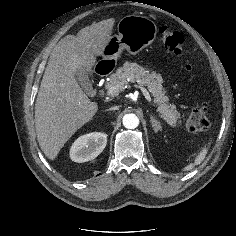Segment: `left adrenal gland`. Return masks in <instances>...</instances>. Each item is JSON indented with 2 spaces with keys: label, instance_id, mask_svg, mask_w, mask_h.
Wrapping results in <instances>:
<instances>
[{
  "label": "left adrenal gland",
  "instance_id": "obj_1",
  "mask_svg": "<svg viewBox=\"0 0 236 236\" xmlns=\"http://www.w3.org/2000/svg\"><path fill=\"white\" fill-rule=\"evenodd\" d=\"M152 127L154 131L157 133L158 131H161V125L160 123L151 115L150 116Z\"/></svg>",
  "mask_w": 236,
  "mask_h": 236
}]
</instances>
